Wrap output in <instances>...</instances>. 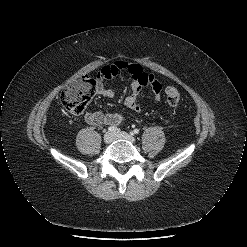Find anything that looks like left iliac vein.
<instances>
[{"label":"left iliac vein","mask_w":247,"mask_h":247,"mask_svg":"<svg viewBox=\"0 0 247 247\" xmlns=\"http://www.w3.org/2000/svg\"><path fill=\"white\" fill-rule=\"evenodd\" d=\"M114 139H124V140H127V141L131 142V143H135L136 142V139L132 135H130V134L126 133V132L115 133L114 134Z\"/></svg>","instance_id":"obj_1"}]
</instances>
